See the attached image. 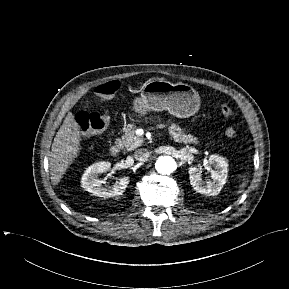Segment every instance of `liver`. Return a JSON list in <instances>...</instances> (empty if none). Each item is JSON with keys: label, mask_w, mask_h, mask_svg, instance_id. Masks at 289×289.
I'll return each mask as SVG.
<instances>
[{"label": "liver", "mask_w": 289, "mask_h": 289, "mask_svg": "<svg viewBox=\"0 0 289 289\" xmlns=\"http://www.w3.org/2000/svg\"><path fill=\"white\" fill-rule=\"evenodd\" d=\"M80 140V126L74 115L69 112L52 144L49 167L53 185L60 182L69 165L78 156Z\"/></svg>", "instance_id": "1"}]
</instances>
